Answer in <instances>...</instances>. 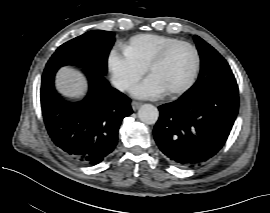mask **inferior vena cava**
Here are the masks:
<instances>
[{
    "label": "inferior vena cava",
    "mask_w": 270,
    "mask_h": 213,
    "mask_svg": "<svg viewBox=\"0 0 270 213\" xmlns=\"http://www.w3.org/2000/svg\"><path fill=\"white\" fill-rule=\"evenodd\" d=\"M115 88H117L120 91L127 90L130 87V83L127 81H115L114 82Z\"/></svg>",
    "instance_id": "1"
}]
</instances>
